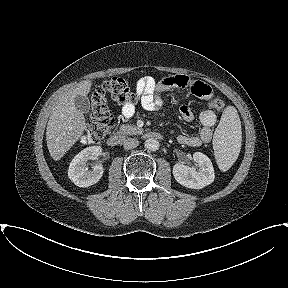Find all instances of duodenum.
I'll return each mask as SVG.
<instances>
[{"label": "duodenum", "instance_id": "duodenum-1", "mask_svg": "<svg viewBox=\"0 0 288 288\" xmlns=\"http://www.w3.org/2000/svg\"><path fill=\"white\" fill-rule=\"evenodd\" d=\"M143 136L146 138V139H155V140H161L163 138L162 134L159 133V132H156V131H148V132H145L143 134ZM123 136L120 135V134H113L111 135L108 140H107V144L111 147H117L119 145L122 144L123 142Z\"/></svg>", "mask_w": 288, "mask_h": 288}]
</instances>
